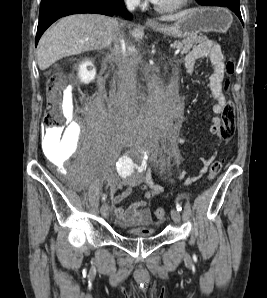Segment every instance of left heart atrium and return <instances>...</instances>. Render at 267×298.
Instances as JSON below:
<instances>
[{
  "instance_id": "obj_1",
  "label": "left heart atrium",
  "mask_w": 267,
  "mask_h": 298,
  "mask_svg": "<svg viewBox=\"0 0 267 298\" xmlns=\"http://www.w3.org/2000/svg\"><path fill=\"white\" fill-rule=\"evenodd\" d=\"M150 1H152L153 3H157L158 2V0H150Z\"/></svg>"
}]
</instances>
